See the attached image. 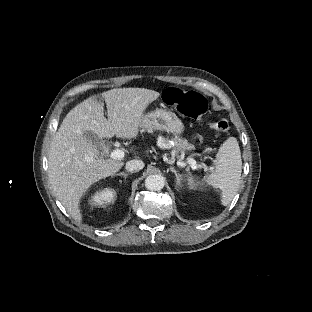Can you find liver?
Instances as JSON below:
<instances>
[{
    "label": "liver",
    "instance_id": "liver-1",
    "mask_svg": "<svg viewBox=\"0 0 312 312\" xmlns=\"http://www.w3.org/2000/svg\"><path fill=\"white\" fill-rule=\"evenodd\" d=\"M159 92L145 88H115L102 93L104 104L91 96L75 106L63 119L48 151V178L54 194L67 212L81 222L79 201L95 182L113 176L123 166L117 159H104L86 140L93 131L100 138H134L138 135L143 112L159 97Z\"/></svg>",
    "mask_w": 312,
    "mask_h": 312
}]
</instances>
